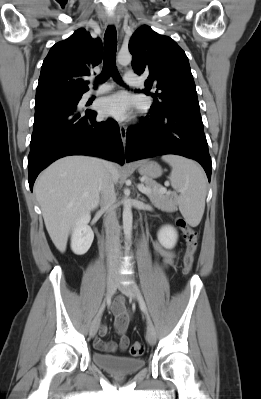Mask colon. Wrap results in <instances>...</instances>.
Segmentation results:
<instances>
[{
	"label": "colon",
	"mask_w": 261,
	"mask_h": 399,
	"mask_svg": "<svg viewBox=\"0 0 261 399\" xmlns=\"http://www.w3.org/2000/svg\"><path fill=\"white\" fill-rule=\"evenodd\" d=\"M176 222L184 230L186 250L183 256V271L185 274H188L192 269L194 256L198 247V233L192 227L186 225L183 219L178 218ZM144 349L143 343L135 342L130 347V354L135 357L140 356L143 354Z\"/></svg>",
	"instance_id": "colon-1"
}]
</instances>
